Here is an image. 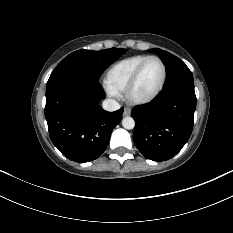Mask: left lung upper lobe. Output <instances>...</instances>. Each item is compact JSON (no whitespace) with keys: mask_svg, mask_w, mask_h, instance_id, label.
Wrapping results in <instances>:
<instances>
[{"mask_svg":"<svg viewBox=\"0 0 233 233\" xmlns=\"http://www.w3.org/2000/svg\"><path fill=\"white\" fill-rule=\"evenodd\" d=\"M149 51L155 52L166 66L167 80L164 87L178 83H194L191 71L178 57L158 48Z\"/></svg>","mask_w":233,"mask_h":233,"instance_id":"left-lung-upper-lobe-1","label":"left lung upper lobe"}]
</instances>
